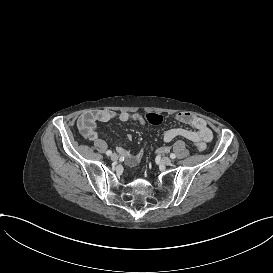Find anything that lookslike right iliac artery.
I'll return each instance as SVG.
<instances>
[{"instance_id": "right-iliac-artery-1", "label": "right iliac artery", "mask_w": 273, "mask_h": 273, "mask_svg": "<svg viewBox=\"0 0 273 273\" xmlns=\"http://www.w3.org/2000/svg\"><path fill=\"white\" fill-rule=\"evenodd\" d=\"M112 154V151H110V150H108L107 152H106V155H111Z\"/></svg>"}]
</instances>
